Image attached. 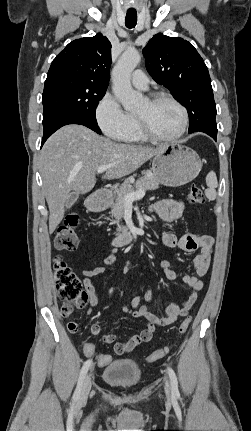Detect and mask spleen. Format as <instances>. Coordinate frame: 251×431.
I'll return each instance as SVG.
<instances>
[{
	"instance_id": "spleen-1",
	"label": "spleen",
	"mask_w": 251,
	"mask_h": 431,
	"mask_svg": "<svg viewBox=\"0 0 251 431\" xmlns=\"http://www.w3.org/2000/svg\"><path fill=\"white\" fill-rule=\"evenodd\" d=\"M206 184L208 189L205 191V194L209 200H215L217 193L215 188L218 186V181L216 177V173L214 171H210L206 176Z\"/></svg>"
}]
</instances>
